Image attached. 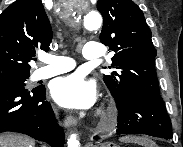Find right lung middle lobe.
<instances>
[{
  "label": "right lung middle lobe",
  "instance_id": "right-lung-middle-lobe-1",
  "mask_svg": "<svg viewBox=\"0 0 183 147\" xmlns=\"http://www.w3.org/2000/svg\"><path fill=\"white\" fill-rule=\"evenodd\" d=\"M29 78V76L26 77H20L15 79H9L5 81H0V87L8 86V85H20L25 86V81Z\"/></svg>",
  "mask_w": 183,
  "mask_h": 147
}]
</instances>
